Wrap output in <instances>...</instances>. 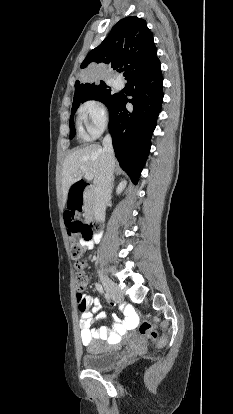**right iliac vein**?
Instances as JSON below:
<instances>
[{"label":"right iliac vein","instance_id":"1","mask_svg":"<svg viewBox=\"0 0 233 414\" xmlns=\"http://www.w3.org/2000/svg\"><path fill=\"white\" fill-rule=\"evenodd\" d=\"M99 276L108 295L116 302L121 301L123 299V294L118 286L104 274L99 273Z\"/></svg>","mask_w":233,"mask_h":414}]
</instances>
